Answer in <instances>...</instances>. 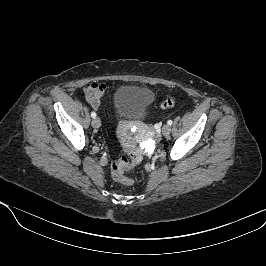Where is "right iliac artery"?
Returning a JSON list of instances; mask_svg holds the SVG:
<instances>
[{
	"mask_svg": "<svg viewBox=\"0 0 266 266\" xmlns=\"http://www.w3.org/2000/svg\"><path fill=\"white\" fill-rule=\"evenodd\" d=\"M91 117H92V118H95V117H96V113H95V112H92V113H91Z\"/></svg>",
	"mask_w": 266,
	"mask_h": 266,
	"instance_id": "82829eb1",
	"label": "right iliac artery"
}]
</instances>
